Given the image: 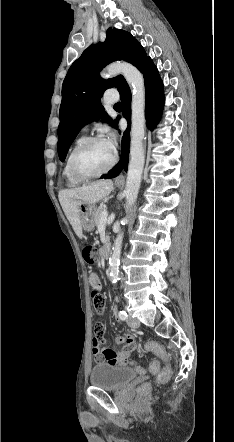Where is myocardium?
<instances>
[{
	"mask_svg": "<svg viewBox=\"0 0 234 442\" xmlns=\"http://www.w3.org/2000/svg\"><path fill=\"white\" fill-rule=\"evenodd\" d=\"M100 141H104V138L100 137V136H92V137H88L86 139H84L72 152L71 156H70V160H69V167L70 170L72 172V174L74 175V177H76L79 180L82 181H86V180H90V179H94V178H98L101 177L105 174H107L109 171L112 170V168L115 166L116 161H117V156L115 153H113L112 159L110 161V163L108 164V166L106 168H104L103 170L96 172V173H83L82 171H80L76 165V159L78 157V155L84 150L86 149L89 145L96 143V142H100Z\"/></svg>",
	"mask_w": 234,
	"mask_h": 442,
	"instance_id": "obj_1",
	"label": "myocardium"
}]
</instances>
